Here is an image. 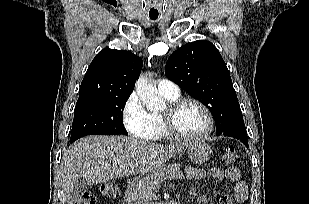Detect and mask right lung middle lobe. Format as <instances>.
<instances>
[{"label": "right lung middle lobe", "instance_id": "dd1d6c3e", "mask_svg": "<svg viewBox=\"0 0 309 204\" xmlns=\"http://www.w3.org/2000/svg\"><path fill=\"white\" fill-rule=\"evenodd\" d=\"M129 96H110L77 103L71 141L86 135H128L123 125V109Z\"/></svg>", "mask_w": 309, "mask_h": 204}]
</instances>
